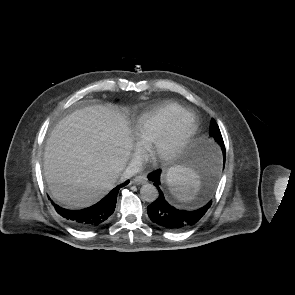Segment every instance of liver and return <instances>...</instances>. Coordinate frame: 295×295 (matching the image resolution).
I'll return each instance as SVG.
<instances>
[{
  "label": "liver",
  "instance_id": "6515ba94",
  "mask_svg": "<svg viewBox=\"0 0 295 295\" xmlns=\"http://www.w3.org/2000/svg\"><path fill=\"white\" fill-rule=\"evenodd\" d=\"M130 130L114 109L95 105L63 118L44 152L52 196L69 208L98 202L115 185L132 149Z\"/></svg>",
  "mask_w": 295,
  "mask_h": 295
}]
</instances>
